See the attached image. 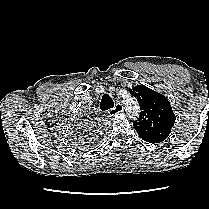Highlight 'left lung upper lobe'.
I'll return each instance as SVG.
<instances>
[{
	"label": "left lung upper lobe",
	"instance_id": "5c2ea615",
	"mask_svg": "<svg viewBox=\"0 0 209 209\" xmlns=\"http://www.w3.org/2000/svg\"><path fill=\"white\" fill-rule=\"evenodd\" d=\"M137 98L141 113L133 121L140 138L147 142L164 141L175 123V115L168 99L144 85H137L130 90Z\"/></svg>",
	"mask_w": 209,
	"mask_h": 209
}]
</instances>
